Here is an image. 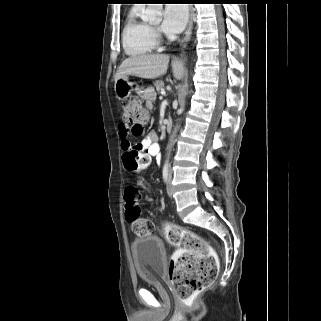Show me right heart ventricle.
I'll return each mask as SVG.
<instances>
[{
  "label": "right heart ventricle",
  "instance_id": "right-heart-ventricle-1",
  "mask_svg": "<svg viewBox=\"0 0 321 321\" xmlns=\"http://www.w3.org/2000/svg\"><path fill=\"white\" fill-rule=\"evenodd\" d=\"M142 8L135 5L130 9L122 31L124 51L132 57L149 54L157 46L152 27L139 16Z\"/></svg>",
  "mask_w": 321,
  "mask_h": 321
}]
</instances>
